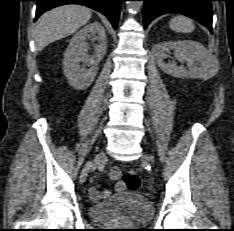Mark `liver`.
<instances>
[{"label": "liver", "instance_id": "obj_1", "mask_svg": "<svg viewBox=\"0 0 234 231\" xmlns=\"http://www.w3.org/2000/svg\"><path fill=\"white\" fill-rule=\"evenodd\" d=\"M91 10L81 5H64L44 13L35 29L38 51L50 43L75 33L91 18Z\"/></svg>", "mask_w": 234, "mask_h": 231}]
</instances>
